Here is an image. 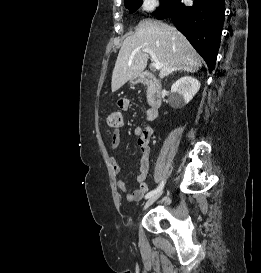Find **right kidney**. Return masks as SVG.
Wrapping results in <instances>:
<instances>
[{"label": "right kidney", "mask_w": 261, "mask_h": 273, "mask_svg": "<svg viewBox=\"0 0 261 273\" xmlns=\"http://www.w3.org/2000/svg\"><path fill=\"white\" fill-rule=\"evenodd\" d=\"M200 89V82L190 76L178 79L171 87V98L178 103H189Z\"/></svg>", "instance_id": "1"}]
</instances>
